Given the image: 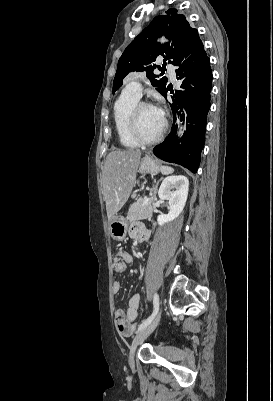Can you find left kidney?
Returning a JSON list of instances; mask_svg holds the SVG:
<instances>
[{"instance_id":"1","label":"left kidney","mask_w":273,"mask_h":401,"mask_svg":"<svg viewBox=\"0 0 273 401\" xmlns=\"http://www.w3.org/2000/svg\"><path fill=\"white\" fill-rule=\"evenodd\" d=\"M176 188V190H172ZM189 190V180L187 176L178 174V176H166L159 190V198H168L170 211L168 215H158V225H166L174 221L182 213L187 201Z\"/></svg>"}]
</instances>
